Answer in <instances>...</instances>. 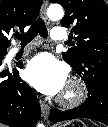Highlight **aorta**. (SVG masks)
<instances>
[{"label":"aorta","instance_id":"762f6f07","mask_svg":"<svg viewBox=\"0 0 108 127\" xmlns=\"http://www.w3.org/2000/svg\"><path fill=\"white\" fill-rule=\"evenodd\" d=\"M47 16L51 20H60L64 16V10L59 4H52L47 10ZM37 127H44V125L39 123Z\"/></svg>","mask_w":108,"mask_h":127}]
</instances>
